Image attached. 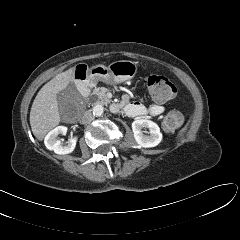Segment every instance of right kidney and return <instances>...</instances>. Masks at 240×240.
<instances>
[{"label": "right kidney", "mask_w": 240, "mask_h": 240, "mask_svg": "<svg viewBox=\"0 0 240 240\" xmlns=\"http://www.w3.org/2000/svg\"><path fill=\"white\" fill-rule=\"evenodd\" d=\"M66 126H58L51 130L44 139V144L47 149L53 150L56 154L64 155L73 152L76 146L77 138H71L67 144H63L58 140V135L67 132Z\"/></svg>", "instance_id": "ca27d5eb"}]
</instances>
